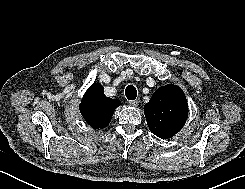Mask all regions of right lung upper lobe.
I'll use <instances>...</instances> for the list:
<instances>
[{
  "mask_svg": "<svg viewBox=\"0 0 245 189\" xmlns=\"http://www.w3.org/2000/svg\"><path fill=\"white\" fill-rule=\"evenodd\" d=\"M120 101L106 97L100 83L92 84L83 96L80 112L86 122L94 129L108 126Z\"/></svg>",
  "mask_w": 245,
  "mask_h": 189,
  "instance_id": "1",
  "label": "right lung upper lobe"
}]
</instances>
